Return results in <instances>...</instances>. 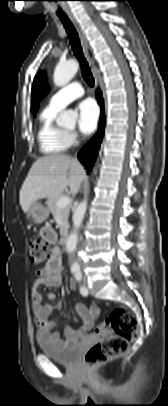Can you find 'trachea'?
Listing matches in <instances>:
<instances>
[{"label":"trachea","instance_id":"1","mask_svg":"<svg viewBox=\"0 0 168 406\" xmlns=\"http://www.w3.org/2000/svg\"><path fill=\"white\" fill-rule=\"evenodd\" d=\"M60 20L63 23L64 28H65V30L67 32V35L69 37L70 44L72 46V50L74 52V55L76 56V58L80 62L82 76H83L84 80L87 82V84L89 86L93 87L94 86V78L92 76V73L90 71L88 63H87L86 59L83 56L82 48L80 46V41H79V37H78V33H77L74 25L72 24V22L68 18L60 17Z\"/></svg>","mask_w":168,"mask_h":406}]
</instances>
